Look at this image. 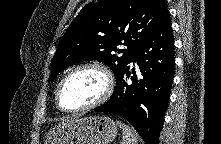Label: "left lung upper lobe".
Wrapping results in <instances>:
<instances>
[{
	"label": "left lung upper lobe",
	"mask_w": 221,
	"mask_h": 144,
	"mask_svg": "<svg viewBox=\"0 0 221 144\" xmlns=\"http://www.w3.org/2000/svg\"><path fill=\"white\" fill-rule=\"evenodd\" d=\"M166 13L164 0H99L88 3L60 39L48 81L66 67L87 60L103 62L117 78ZM120 45L128 48L120 49Z\"/></svg>",
	"instance_id": "1"
}]
</instances>
